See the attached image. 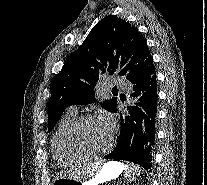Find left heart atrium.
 <instances>
[{"mask_svg": "<svg viewBox=\"0 0 207 185\" xmlns=\"http://www.w3.org/2000/svg\"><path fill=\"white\" fill-rule=\"evenodd\" d=\"M98 120L104 124L106 127H108L110 130H113L114 127V119L113 117L107 113V112H102L99 117Z\"/></svg>", "mask_w": 207, "mask_h": 185, "instance_id": "obj_1", "label": "left heart atrium"}]
</instances>
